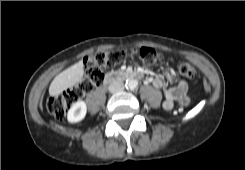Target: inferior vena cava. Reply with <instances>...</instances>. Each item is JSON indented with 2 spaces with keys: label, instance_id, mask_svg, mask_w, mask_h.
<instances>
[{
  "label": "inferior vena cava",
  "instance_id": "inferior-vena-cava-1",
  "mask_svg": "<svg viewBox=\"0 0 245 170\" xmlns=\"http://www.w3.org/2000/svg\"><path fill=\"white\" fill-rule=\"evenodd\" d=\"M124 89V84L122 82H114L109 85V92L117 93Z\"/></svg>",
  "mask_w": 245,
  "mask_h": 170
}]
</instances>
